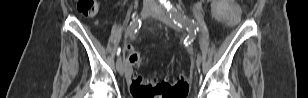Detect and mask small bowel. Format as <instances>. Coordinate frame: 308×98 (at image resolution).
I'll list each match as a JSON object with an SVG mask.
<instances>
[{"instance_id":"c3829d8e","label":"small bowel","mask_w":308,"mask_h":98,"mask_svg":"<svg viewBox=\"0 0 308 98\" xmlns=\"http://www.w3.org/2000/svg\"><path fill=\"white\" fill-rule=\"evenodd\" d=\"M127 73H128V76L131 77V68H130V65H128V72H127ZM134 79H135V78H134ZM176 81H177V80H176Z\"/></svg>"}]
</instances>
